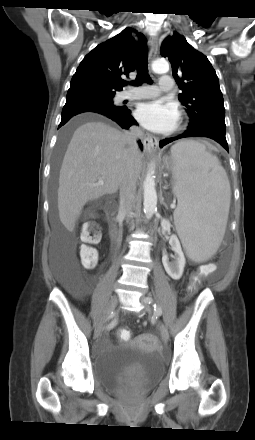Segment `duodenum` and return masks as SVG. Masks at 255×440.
<instances>
[{
  "instance_id": "duodenum-1",
  "label": "duodenum",
  "mask_w": 255,
  "mask_h": 440,
  "mask_svg": "<svg viewBox=\"0 0 255 440\" xmlns=\"http://www.w3.org/2000/svg\"><path fill=\"white\" fill-rule=\"evenodd\" d=\"M111 233L115 241L118 242L120 240V231L115 223L111 226Z\"/></svg>"
}]
</instances>
